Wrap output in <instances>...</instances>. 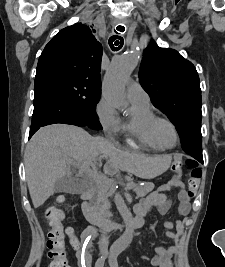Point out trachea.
<instances>
[{
    "mask_svg": "<svg viewBox=\"0 0 225 267\" xmlns=\"http://www.w3.org/2000/svg\"><path fill=\"white\" fill-rule=\"evenodd\" d=\"M117 30L120 32H124L125 27L119 25V26H117ZM123 44H124V39L118 35H113L109 38V46L113 51H117V50L121 49Z\"/></svg>",
    "mask_w": 225,
    "mask_h": 267,
    "instance_id": "1",
    "label": "trachea"
}]
</instances>
